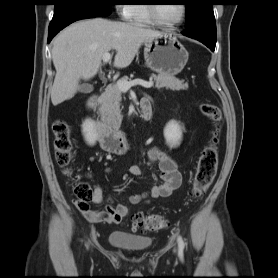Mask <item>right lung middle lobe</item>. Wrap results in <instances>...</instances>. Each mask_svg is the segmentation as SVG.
<instances>
[{
    "label": "right lung middle lobe",
    "mask_w": 278,
    "mask_h": 278,
    "mask_svg": "<svg viewBox=\"0 0 278 278\" xmlns=\"http://www.w3.org/2000/svg\"><path fill=\"white\" fill-rule=\"evenodd\" d=\"M54 15L52 23L70 13H89L96 16H108L111 13L112 0H53Z\"/></svg>",
    "instance_id": "right-lung-middle-lobe-1"
}]
</instances>
